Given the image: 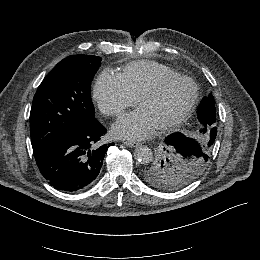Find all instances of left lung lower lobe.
Masks as SVG:
<instances>
[{"label": "left lung lower lobe", "mask_w": 260, "mask_h": 260, "mask_svg": "<svg viewBox=\"0 0 260 260\" xmlns=\"http://www.w3.org/2000/svg\"><path fill=\"white\" fill-rule=\"evenodd\" d=\"M211 101L208 97H204L201 105L198 109V119L202 125H208L212 122L213 104H209ZM217 135V128H214L211 132V138L215 142ZM166 143L173 147L176 151L184 155H196L203 151L201 144L194 138L185 134H171L166 138ZM213 142V143H214Z\"/></svg>", "instance_id": "obj_1"}]
</instances>
